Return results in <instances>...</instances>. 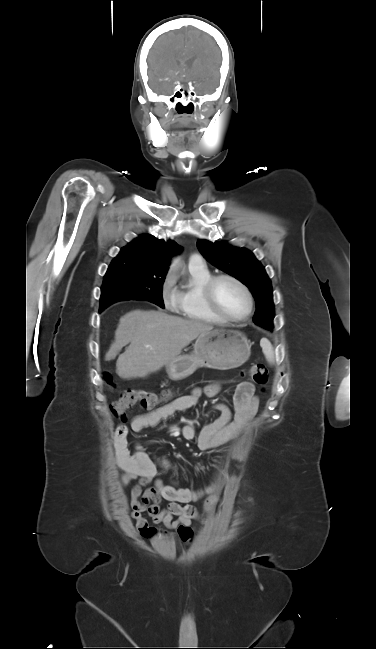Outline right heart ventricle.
<instances>
[{
    "instance_id": "1",
    "label": "right heart ventricle",
    "mask_w": 376,
    "mask_h": 649,
    "mask_svg": "<svg viewBox=\"0 0 376 649\" xmlns=\"http://www.w3.org/2000/svg\"><path fill=\"white\" fill-rule=\"evenodd\" d=\"M211 277L212 273L204 263H189L186 274L175 289L178 297L175 310L190 320L222 325L226 321L208 306L204 297V286Z\"/></svg>"
}]
</instances>
